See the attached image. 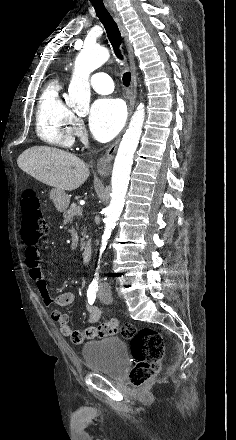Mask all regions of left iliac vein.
I'll use <instances>...</instances> for the list:
<instances>
[{
  "mask_svg": "<svg viewBox=\"0 0 236 440\" xmlns=\"http://www.w3.org/2000/svg\"><path fill=\"white\" fill-rule=\"evenodd\" d=\"M98 297L102 303L110 304L112 303V295L110 293H99Z\"/></svg>",
  "mask_w": 236,
  "mask_h": 440,
  "instance_id": "obj_1",
  "label": "left iliac vein"
}]
</instances>
